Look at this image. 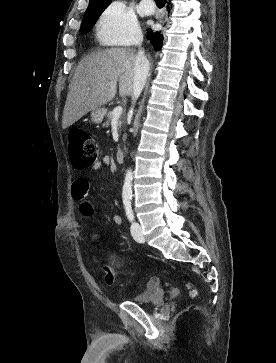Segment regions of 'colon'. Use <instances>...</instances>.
<instances>
[{"mask_svg": "<svg viewBox=\"0 0 276 363\" xmlns=\"http://www.w3.org/2000/svg\"><path fill=\"white\" fill-rule=\"evenodd\" d=\"M69 155L76 168H86L98 161L100 157V146L86 130L75 129L70 133L69 137ZM95 258L101 261L102 267L106 272V283L113 285L117 278V269L113 261L105 257L103 252ZM156 283L157 281L153 279L149 285H155ZM187 288L190 297L193 298L197 295V290L193 283L188 282Z\"/></svg>", "mask_w": 276, "mask_h": 363, "instance_id": "colon-1", "label": "colon"}]
</instances>
